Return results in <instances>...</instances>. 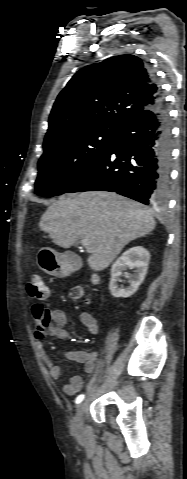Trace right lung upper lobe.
I'll return each mask as SVG.
<instances>
[{"instance_id":"right-lung-upper-lobe-1","label":"right lung upper lobe","mask_w":187,"mask_h":479,"mask_svg":"<svg viewBox=\"0 0 187 479\" xmlns=\"http://www.w3.org/2000/svg\"><path fill=\"white\" fill-rule=\"evenodd\" d=\"M161 98L144 62L119 55L79 70L58 95L44 145L89 128L121 129Z\"/></svg>"}]
</instances>
